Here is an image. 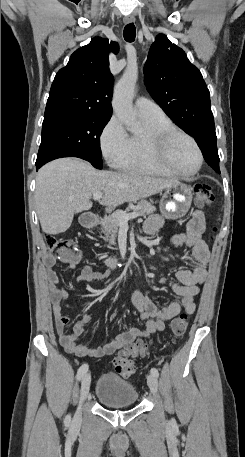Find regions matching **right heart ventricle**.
<instances>
[{
	"label": "right heart ventricle",
	"instance_id": "e07e8e85",
	"mask_svg": "<svg viewBox=\"0 0 245 457\" xmlns=\"http://www.w3.org/2000/svg\"><path fill=\"white\" fill-rule=\"evenodd\" d=\"M147 129L156 127H175L174 123L165 115L153 118H144ZM144 135V134H143ZM143 135H133L126 154L118 159L115 164L123 170H136L150 173L159 171L152 167L143 157L141 152V140Z\"/></svg>",
	"mask_w": 245,
	"mask_h": 457
}]
</instances>
